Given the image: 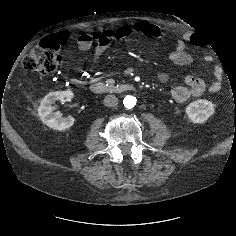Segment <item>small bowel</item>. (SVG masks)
<instances>
[{
	"instance_id": "1",
	"label": "small bowel",
	"mask_w": 236,
	"mask_h": 236,
	"mask_svg": "<svg viewBox=\"0 0 236 236\" xmlns=\"http://www.w3.org/2000/svg\"><path fill=\"white\" fill-rule=\"evenodd\" d=\"M132 34H143L150 38H174L175 36L169 34L166 29L160 25L150 22H134L130 24H124L119 26L112 36L109 34L99 35L97 38L89 33H82L77 38V48L80 51L89 50L95 43L92 61L98 63L103 58L106 50L108 49L111 39L121 40ZM57 38L65 43L69 35L66 32H60L57 34ZM176 38V46L170 53V61L178 66H185L192 62V55L186 50L188 42L197 44V38L194 34H182ZM214 81L207 85L202 79L187 75L185 77V85H177L171 88L170 95L173 100L179 104L185 103L192 97H198L203 95L207 90L216 93L222 87V70L219 67L214 69ZM158 78L161 82L168 81L169 76L165 72L158 74Z\"/></svg>"
}]
</instances>
